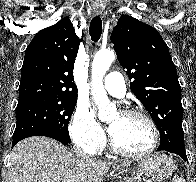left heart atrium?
Returning a JSON list of instances; mask_svg holds the SVG:
<instances>
[{"label": "left heart atrium", "instance_id": "obj_1", "mask_svg": "<svg viewBox=\"0 0 196 182\" xmlns=\"http://www.w3.org/2000/svg\"><path fill=\"white\" fill-rule=\"evenodd\" d=\"M109 132L111 133V135H113L114 134V132H115V127H109Z\"/></svg>", "mask_w": 196, "mask_h": 182}]
</instances>
